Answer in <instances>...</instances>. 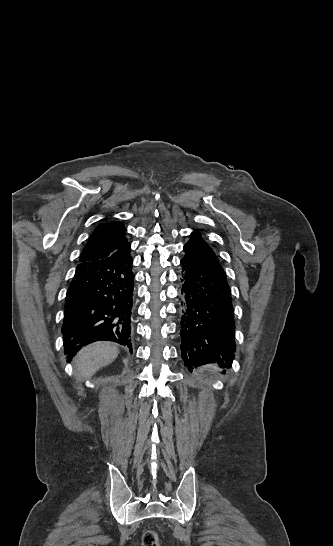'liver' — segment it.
I'll use <instances>...</instances> for the list:
<instances>
[{"label":"liver","instance_id":"6515ba94","mask_svg":"<svg viewBox=\"0 0 333 546\" xmlns=\"http://www.w3.org/2000/svg\"><path fill=\"white\" fill-rule=\"evenodd\" d=\"M118 353V348L109 342H97L84 347L73 362L77 369V380L91 378L100 368L112 363Z\"/></svg>","mask_w":333,"mask_h":546}]
</instances>
